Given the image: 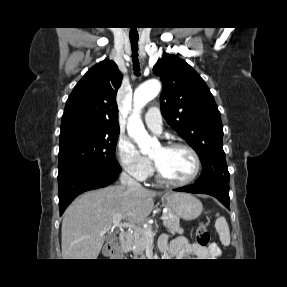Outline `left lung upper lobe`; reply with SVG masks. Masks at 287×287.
<instances>
[{
  "label": "left lung upper lobe",
  "mask_w": 287,
  "mask_h": 287,
  "mask_svg": "<svg viewBox=\"0 0 287 287\" xmlns=\"http://www.w3.org/2000/svg\"><path fill=\"white\" fill-rule=\"evenodd\" d=\"M153 72L163 84L160 97L163 117L201 160L203 169L195 184L229 188L221 115L206 83L176 55L165 54Z\"/></svg>",
  "instance_id": "5c2ea615"
}]
</instances>
